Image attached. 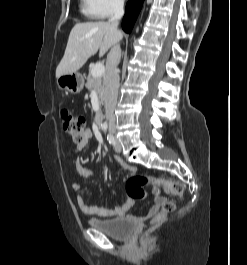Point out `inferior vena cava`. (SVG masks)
I'll list each match as a JSON object with an SVG mask.
<instances>
[{
    "label": "inferior vena cava",
    "instance_id": "obj_1",
    "mask_svg": "<svg viewBox=\"0 0 247 265\" xmlns=\"http://www.w3.org/2000/svg\"><path fill=\"white\" fill-rule=\"evenodd\" d=\"M124 14L123 0H115L114 15L109 19V23L114 28L118 27L119 20ZM121 59V49L117 42L110 50L106 62V90L104 97L106 119L109 122V128H115L114 109L117 103L118 89H119V72L117 66Z\"/></svg>",
    "mask_w": 247,
    "mask_h": 265
}]
</instances>
